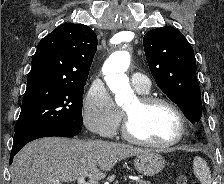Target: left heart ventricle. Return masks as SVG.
Returning a JSON list of instances; mask_svg holds the SVG:
<instances>
[{"instance_id":"1","label":"left heart ventricle","mask_w":224,"mask_h":184,"mask_svg":"<svg viewBox=\"0 0 224 184\" xmlns=\"http://www.w3.org/2000/svg\"><path fill=\"white\" fill-rule=\"evenodd\" d=\"M132 116V126L136 135L158 144L172 140L179 131L176 114L166 105L155 104L142 109L135 99L125 107Z\"/></svg>"}]
</instances>
